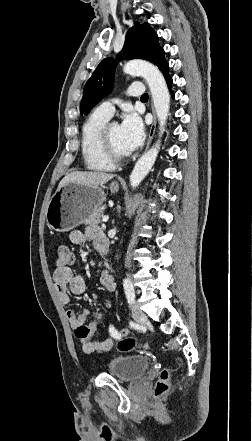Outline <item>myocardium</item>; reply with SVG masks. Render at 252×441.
<instances>
[{
  "label": "myocardium",
  "mask_w": 252,
  "mask_h": 441,
  "mask_svg": "<svg viewBox=\"0 0 252 441\" xmlns=\"http://www.w3.org/2000/svg\"><path fill=\"white\" fill-rule=\"evenodd\" d=\"M113 124L114 123H106L103 127L100 134V149L107 161L113 165H119L126 160L127 155L117 153L111 145L109 134L110 128Z\"/></svg>",
  "instance_id": "f54148a6"
}]
</instances>
